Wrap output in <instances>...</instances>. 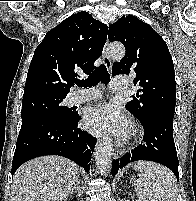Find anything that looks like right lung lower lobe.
I'll return each instance as SVG.
<instances>
[{
	"instance_id": "right-lung-lower-lobe-1",
	"label": "right lung lower lobe",
	"mask_w": 196,
	"mask_h": 201,
	"mask_svg": "<svg viewBox=\"0 0 196 201\" xmlns=\"http://www.w3.org/2000/svg\"><path fill=\"white\" fill-rule=\"evenodd\" d=\"M80 118L75 113L68 121L47 116L22 119L12 162V175L24 162L44 155L66 157L88 172L97 140L78 127Z\"/></svg>"
}]
</instances>
